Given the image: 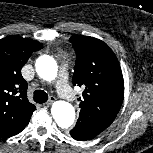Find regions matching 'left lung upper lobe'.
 I'll list each match as a JSON object with an SVG mask.
<instances>
[{
	"label": "left lung upper lobe",
	"mask_w": 153,
	"mask_h": 153,
	"mask_svg": "<svg viewBox=\"0 0 153 153\" xmlns=\"http://www.w3.org/2000/svg\"><path fill=\"white\" fill-rule=\"evenodd\" d=\"M76 51L73 85L84 88L80 114L70 131L76 140H89L103 132L118 114L124 81L114 52L103 41L81 35L69 40Z\"/></svg>",
	"instance_id": "obj_1"
}]
</instances>
